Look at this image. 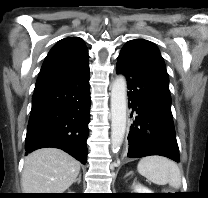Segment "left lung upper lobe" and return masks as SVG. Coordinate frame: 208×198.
<instances>
[{
    "instance_id": "left-lung-upper-lobe-1",
    "label": "left lung upper lobe",
    "mask_w": 208,
    "mask_h": 198,
    "mask_svg": "<svg viewBox=\"0 0 208 198\" xmlns=\"http://www.w3.org/2000/svg\"><path fill=\"white\" fill-rule=\"evenodd\" d=\"M144 42H145L147 48L152 53V55L154 56V58L157 62L158 68L161 70V73L163 74L165 81L168 82V74L166 71L165 64L163 62V58L159 53V50L157 49V47L153 43H149L147 40H144Z\"/></svg>"
}]
</instances>
